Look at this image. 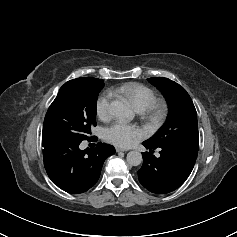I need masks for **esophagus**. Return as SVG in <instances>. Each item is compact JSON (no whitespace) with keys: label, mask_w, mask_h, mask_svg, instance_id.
Instances as JSON below:
<instances>
[{"label":"esophagus","mask_w":237,"mask_h":237,"mask_svg":"<svg viewBox=\"0 0 237 237\" xmlns=\"http://www.w3.org/2000/svg\"><path fill=\"white\" fill-rule=\"evenodd\" d=\"M127 151H128V149L116 147V152H127Z\"/></svg>","instance_id":"1"}]
</instances>
